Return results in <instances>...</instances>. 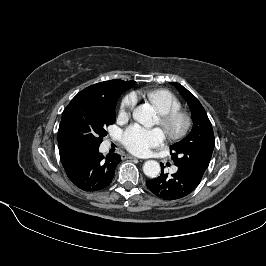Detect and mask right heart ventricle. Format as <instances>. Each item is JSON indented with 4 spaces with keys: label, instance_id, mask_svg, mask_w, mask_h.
Here are the masks:
<instances>
[{
    "label": "right heart ventricle",
    "instance_id": "right-heart-ventricle-1",
    "mask_svg": "<svg viewBox=\"0 0 266 266\" xmlns=\"http://www.w3.org/2000/svg\"><path fill=\"white\" fill-rule=\"evenodd\" d=\"M145 95L160 114L181 109V102L179 99L168 90H152L146 92Z\"/></svg>",
    "mask_w": 266,
    "mask_h": 266
}]
</instances>
